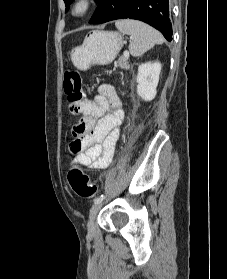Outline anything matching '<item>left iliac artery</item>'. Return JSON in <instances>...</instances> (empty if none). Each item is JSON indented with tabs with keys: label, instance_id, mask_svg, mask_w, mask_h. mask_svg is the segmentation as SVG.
I'll return each instance as SVG.
<instances>
[{
	"label": "left iliac artery",
	"instance_id": "obj_1",
	"mask_svg": "<svg viewBox=\"0 0 227 279\" xmlns=\"http://www.w3.org/2000/svg\"><path fill=\"white\" fill-rule=\"evenodd\" d=\"M104 198H105V196L101 195V196L94 199V203H98V202L102 201Z\"/></svg>",
	"mask_w": 227,
	"mask_h": 279
}]
</instances>
